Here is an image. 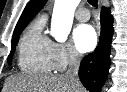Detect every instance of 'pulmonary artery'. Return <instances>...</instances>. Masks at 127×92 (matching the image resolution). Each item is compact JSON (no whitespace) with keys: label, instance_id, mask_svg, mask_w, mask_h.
<instances>
[{"label":"pulmonary artery","instance_id":"pulmonary-artery-1","mask_svg":"<svg viewBox=\"0 0 127 92\" xmlns=\"http://www.w3.org/2000/svg\"><path fill=\"white\" fill-rule=\"evenodd\" d=\"M75 17L77 20L84 22V21L89 20L90 14H89L88 9L84 7H80L79 9L76 10Z\"/></svg>","mask_w":127,"mask_h":92}]
</instances>
